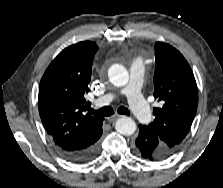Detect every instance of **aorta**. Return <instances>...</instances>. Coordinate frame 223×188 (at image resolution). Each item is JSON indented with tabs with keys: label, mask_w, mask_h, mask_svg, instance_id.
<instances>
[{
	"label": "aorta",
	"mask_w": 223,
	"mask_h": 188,
	"mask_svg": "<svg viewBox=\"0 0 223 188\" xmlns=\"http://www.w3.org/2000/svg\"><path fill=\"white\" fill-rule=\"evenodd\" d=\"M110 82L117 86L123 87L129 81V73L127 69L120 64H113L108 70ZM115 129L122 135H132L136 131V123L130 117H121L115 123Z\"/></svg>",
	"instance_id": "762f6f07"
}]
</instances>
